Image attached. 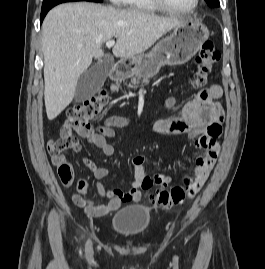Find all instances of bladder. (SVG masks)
I'll list each match as a JSON object with an SVG mask.
<instances>
[{
	"mask_svg": "<svg viewBox=\"0 0 265 269\" xmlns=\"http://www.w3.org/2000/svg\"><path fill=\"white\" fill-rule=\"evenodd\" d=\"M150 224V210L139 205L127 206L111 218L112 230L125 237H136L143 234Z\"/></svg>",
	"mask_w": 265,
	"mask_h": 269,
	"instance_id": "bladder-1",
	"label": "bladder"
}]
</instances>
